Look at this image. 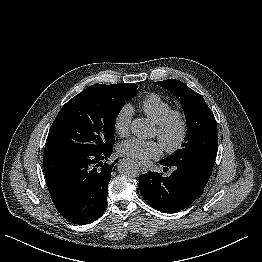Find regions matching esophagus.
Instances as JSON below:
<instances>
[{
  "label": "esophagus",
  "instance_id": "1",
  "mask_svg": "<svg viewBox=\"0 0 262 262\" xmlns=\"http://www.w3.org/2000/svg\"><path fill=\"white\" fill-rule=\"evenodd\" d=\"M138 167L142 173L147 172V168L141 162H138Z\"/></svg>",
  "mask_w": 262,
  "mask_h": 262
}]
</instances>
